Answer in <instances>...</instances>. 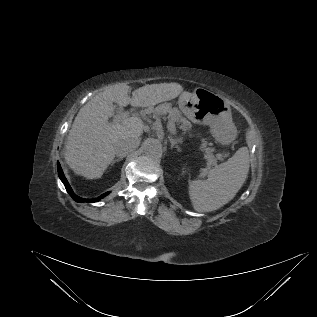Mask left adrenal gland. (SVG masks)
Segmentation results:
<instances>
[{
	"mask_svg": "<svg viewBox=\"0 0 317 317\" xmlns=\"http://www.w3.org/2000/svg\"><path fill=\"white\" fill-rule=\"evenodd\" d=\"M169 140H170V143H171V148H174V147L178 148L177 144L180 142L179 139H174L172 137H169Z\"/></svg>",
	"mask_w": 317,
	"mask_h": 317,
	"instance_id": "left-adrenal-gland-1",
	"label": "left adrenal gland"
}]
</instances>
